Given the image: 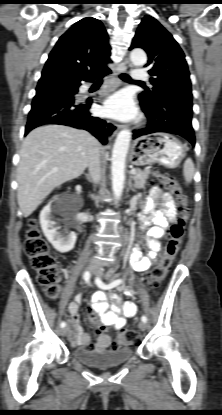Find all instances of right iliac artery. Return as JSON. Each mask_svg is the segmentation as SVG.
Wrapping results in <instances>:
<instances>
[{
    "label": "right iliac artery",
    "mask_w": 222,
    "mask_h": 415,
    "mask_svg": "<svg viewBox=\"0 0 222 415\" xmlns=\"http://www.w3.org/2000/svg\"><path fill=\"white\" fill-rule=\"evenodd\" d=\"M90 277H91V275H90V272H89V271H86V272L83 274V278H84V280H85L87 283L90 281ZM60 326H61L62 328H64V327L66 326V323H65L64 321H62V322L60 323Z\"/></svg>",
    "instance_id": "right-iliac-artery-1"
}]
</instances>
